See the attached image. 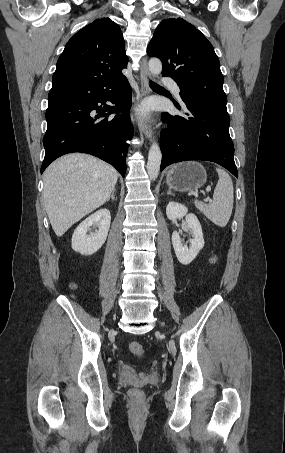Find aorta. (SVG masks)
<instances>
[{"label": "aorta", "instance_id": "aorta-1", "mask_svg": "<svg viewBox=\"0 0 285 453\" xmlns=\"http://www.w3.org/2000/svg\"><path fill=\"white\" fill-rule=\"evenodd\" d=\"M149 71L152 75H159L162 71V63L157 58L149 60ZM162 153L159 145L154 141L148 152L147 172L150 179L155 180L158 177L161 165Z\"/></svg>", "mask_w": 285, "mask_h": 453}]
</instances>
